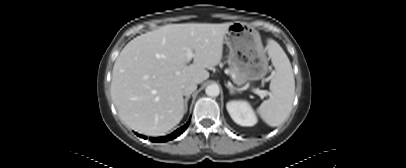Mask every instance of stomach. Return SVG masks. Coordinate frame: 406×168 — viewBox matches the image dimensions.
<instances>
[{
  "label": "stomach",
  "mask_w": 406,
  "mask_h": 168,
  "mask_svg": "<svg viewBox=\"0 0 406 168\" xmlns=\"http://www.w3.org/2000/svg\"><path fill=\"white\" fill-rule=\"evenodd\" d=\"M225 43L229 48L228 64L237 73L236 84L260 80L267 74L269 58L259 32L252 26L238 21L231 23Z\"/></svg>",
  "instance_id": "stomach-1"
}]
</instances>
